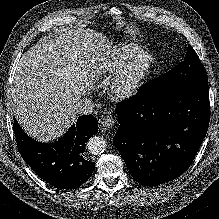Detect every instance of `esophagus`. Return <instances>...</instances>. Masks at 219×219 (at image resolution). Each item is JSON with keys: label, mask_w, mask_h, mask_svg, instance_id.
Masks as SVG:
<instances>
[{"label": "esophagus", "mask_w": 219, "mask_h": 219, "mask_svg": "<svg viewBox=\"0 0 219 219\" xmlns=\"http://www.w3.org/2000/svg\"><path fill=\"white\" fill-rule=\"evenodd\" d=\"M100 123L105 128H112L115 124V120L111 115H107L101 118Z\"/></svg>", "instance_id": "esophagus-1"}]
</instances>
